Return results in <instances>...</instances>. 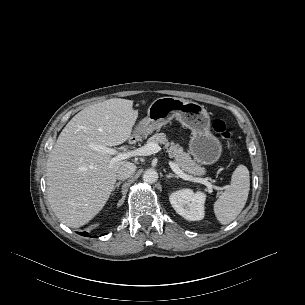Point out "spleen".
<instances>
[{"mask_svg": "<svg viewBox=\"0 0 305 305\" xmlns=\"http://www.w3.org/2000/svg\"><path fill=\"white\" fill-rule=\"evenodd\" d=\"M250 190V176L246 166L238 165L231 177V183L214 203L217 220L231 223L243 210Z\"/></svg>", "mask_w": 305, "mask_h": 305, "instance_id": "1", "label": "spleen"}]
</instances>
